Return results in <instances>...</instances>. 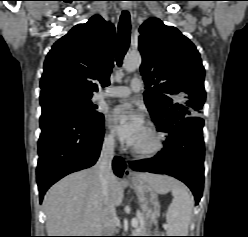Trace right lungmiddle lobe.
<instances>
[{"label": "right lung middle lobe", "instance_id": "1", "mask_svg": "<svg viewBox=\"0 0 248 237\" xmlns=\"http://www.w3.org/2000/svg\"><path fill=\"white\" fill-rule=\"evenodd\" d=\"M42 115L61 114L70 115L83 120H94L103 117L97 112L96 105L91 99H78L72 97H59L41 104Z\"/></svg>", "mask_w": 248, "mask_h": 237}]
</instances>
